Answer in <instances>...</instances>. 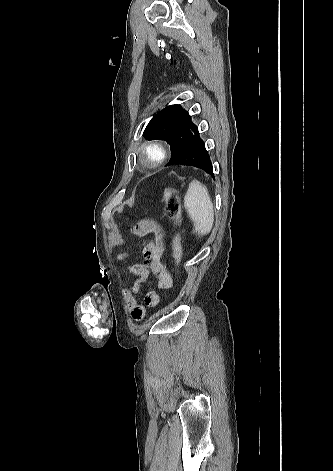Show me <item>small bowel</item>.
<instances>
[{"mask_svg":"<svg viewBox=\"0 0 333 471\" xmlns=\"http://www.w3.org/2000/svg\"><path fill=\"white\" fill-rule=\"evenodd\" d=\"M135 233L139 236L154 234L153 241L144 244L143 255L145 263L132 264L127 271L136 276V281L132 288H123L122 296L126 309L131 318L141 321L147 312L148 307H155L160 303V294L154 290L147 291L143 301L138 302L136 296L140 293L143 284L153 275L157 280V286L161 290L170 289L173 286V279L164 264V244L163 233L159 226L151 220L139 222L135 227ZM130 256L129 253L121 254L118 259L123 261Z\"/></svg>","mask_w":333,"mask_h":471,"instance_id":"small-bowel-1","label":"small bowel"}]
</instances>
